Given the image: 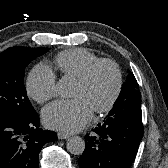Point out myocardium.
<instances>
[{
  "label": "myocardium",
  "instance_id": "obj_1",
  "mask_svg": "<svg viewBox=\"0 0 168 168\" xmlns=\"http://www.w3.org/2000/svg\"><path fill=\"white\" fill-rule=\"evenodd\" d=\"M109 66L114 72V87L108 100L101 106L94 108L96 113L102 114L110 111L116 104L122 90V72L119 65L112 59L99 58L91 63L86 70L77 78L81 84H87L93 77L96 70L102 66Z\"/></svg>",
  "mask_w": 168,
  "mask_h": 168
}]
</instances>
